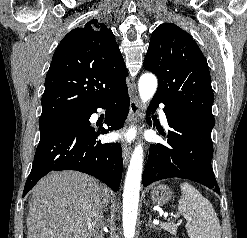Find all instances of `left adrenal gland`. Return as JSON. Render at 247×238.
<instances>
[{
    "instance_id": "left-adrenal-gland-1",
    "label": "left adrenal gland",
    "mask_w": 247,
    "mask_h": 238,
    "mask_svg": "<svg viewBox=\"0 0 247 238\" xmlns=\"http://www.w3.org/2000/svg\"><path fill=\"white\" fill-rule=\"evenodd\" d=\"M148 227L150 228V229H156V230H158V228L156 227V226H154L153 225V223H152V216H151V214H149V221H148V223L146 224V228L148 229Z\"/></svg>"
}]
</instances>
